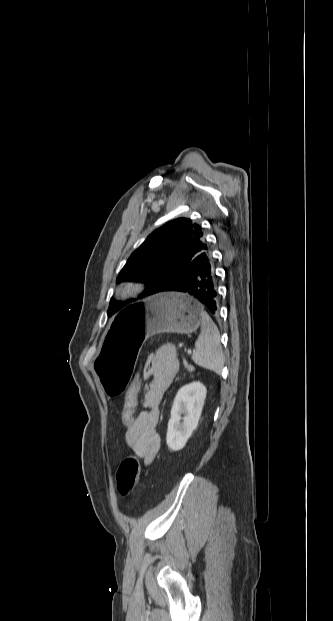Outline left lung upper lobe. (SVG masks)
Listing matches in <instances>:
<instances>
[{
  "label": "left lung upper lobe",
  "mask_w": 333,
  "mask_h": 621,
  "mask_svg": "<svg viewBox=\"0 0 333 621\" xmlns=\"http://www.w3.org/2000/svg\"><path fill=\"white\" fill-rule=\"evenodd\" d=\"M209 248L202 228L188 218L167 222L151 233L129 257L117 277V283L139 279L146 283L140 298L159 293L190 262ZM134 301L131 299L129 302ZM126 303L111 298L107 314L111 316Z\"/></svg>",
  "instance_id": "1"
}]
</instances>
